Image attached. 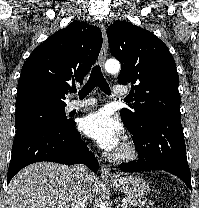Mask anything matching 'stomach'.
Listing matches in <instances>:
<instances>
[{
  "label": "stomach",
  "mask_w": 199,
  "mask_h": 208,
  "mask_svg": "<svg viewBox=\"0 0 199 208\" xmlns=\"http://www.w3.org/2000/svg\"><path fill=\"white\" fill-rule=\"evenodd\" d=\"M109 185L120 193H123L130 199L140 200L150 192L149 184L138 176H125L108 182Z\"/></svg>",
  "instance_id": "obj_1"
}]
</instances>
